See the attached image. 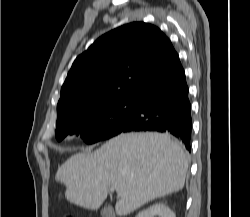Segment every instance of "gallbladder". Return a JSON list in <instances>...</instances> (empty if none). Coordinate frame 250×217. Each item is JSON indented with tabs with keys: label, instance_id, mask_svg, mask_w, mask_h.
Masks as SVG:
<instances>
[{
	"label": "gallbladder",
	"instance_id": "obj_1",
	"mask_svg": "<svg viewBox=\"0 0 250 217\" xmlns=\"http://www.w3.org/2000/svg\"><path fill=\"white\" fill-rule=\"evenodd\" d=\"M101 216L102 217H115L114 212L111 207L107 206L104 207L101 211Z\"/></svg>",
	"mask_w": 250,
	"mask_h": 217
}]
</instances>
